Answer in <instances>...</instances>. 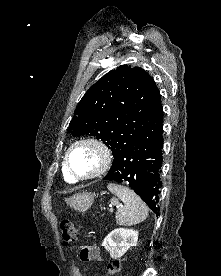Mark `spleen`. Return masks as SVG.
<instances>
[{
    "mask_svg": "<svg viewBox=\"0 0 221 276\" xmlns=\"http://www.w3.org/2000/svg\"><path fill=\"white\" fill-rule=\"evenodd\" d=\"M108 190L115 194L125 205L116 212L118 225H135L144 221L148 216V208L142 199L128 187L115 183L107 186Z\"/></svg>",
    "mask_w": 221,
    "mask_h": 276,
    "instance_id": "spleen-1",
    "label": "spleen"
}]
</instances>
